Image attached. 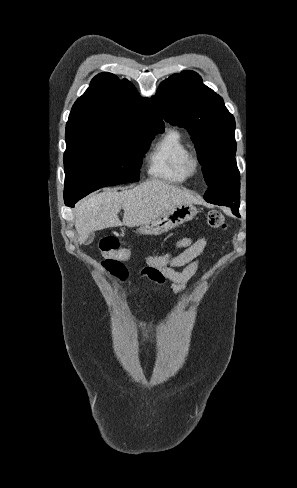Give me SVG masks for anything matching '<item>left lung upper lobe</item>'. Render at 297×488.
<instances>
[{"label": "left lung upper lobe", "mask_w": 297, "mask_h": 488, "mask_svg": "<svg viewBox=\"0 0 297 488\" xmlns=\"http://www.w3.org/2000/svg\"><path fill=\"white\" fill-rule=\"evenodd\" d=\"M162 117L187 129L208 189L207 202L239 213L240 175L235 161V120L223 99L193 71L173 74L152 97Z\"/></svg>", "instance_id": "left-lung-upper-lobe-1"}]
</instances>
